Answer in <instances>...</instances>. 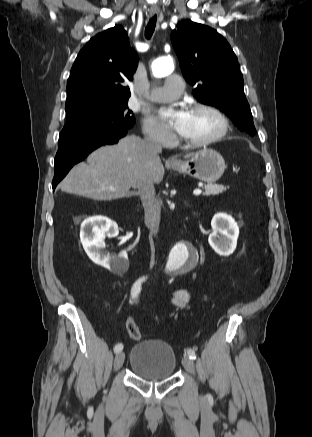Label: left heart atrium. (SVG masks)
I'll list each match as a JSON object with an SVG mask.
<instances>
[{
    "label": "left heart atrium",
    "mask_w": 312,
    "mask_h": 437,
    "mask_svg": "<svg viewBox=\"0 0 312 437\" xmlns=\"http://www.w3.org/2000/svg\"><path fill=\"white\" fill-rule=\"evenodd\" d=\"M159 115L163 122L182 135L186 130L190 112L180 109L163 108L160 110Z\"/></svg>",
    "instance_id": "obj_1"
}]
</instances>
